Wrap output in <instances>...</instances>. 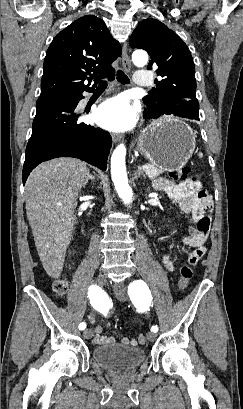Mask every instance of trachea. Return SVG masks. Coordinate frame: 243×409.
<instances>
[{
    "mask_svg": "<svg viewBox=\"0 0 243 409\" xmlns=\"http://www.w3.org/2000/svg\"><path fill=\"white\" fill-rule=\"evenodd\" d=\"M117 80L122 84H129L130 83V80H129L128 76L121 70H119L117 72ZM103 86H106V83H102V84L99 85V87H103Z\"/></svg>",
    "mask_w": 243,
    "mask_h": 409,
    "instance_id": "obj_1",
    "label": "trachea"
}]
</instances>
